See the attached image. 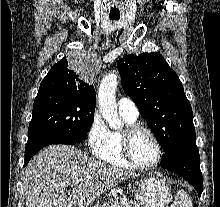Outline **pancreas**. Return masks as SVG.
I'll list each match as a JSON object with an SVG mask.
<instances>
[{
  "mask_svg": "<svg viewBox=\"0 0 220 207\" xmlns=\"http://www.w3.org/2000/svg\"><path fill=\"white\" fill-rule=\"evenodd\" d=\"M99 207H139L132 201L124 202L117 195L109 196L108 201Z\"/></svg>",
  "mask_w": 220,
  "mask_h": 207,
  "instance_id": "cf45deb5",
  "label": "pancreas"
}]
</instances>
